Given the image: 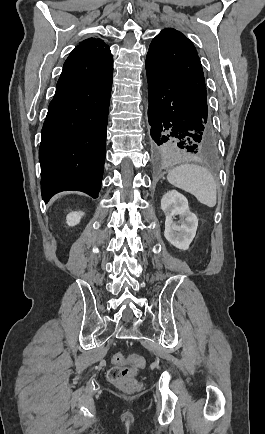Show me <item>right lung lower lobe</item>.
Wrapping results in <instances>:
<instances>
[{
    "instance_id": "obj_1",
    "label": "right lung lower lobe",
    "mask_w": 265,
    "mask_h": 434,
    "mask_svg": "<svg viewBox=\"0 0 265 434\" xmlns=\"http://www.w3.org/2000/svg\"><path fill=\"white\" fill-rule=\"evenodd\" d=\"M113 60L108 48L78 45L64 63L39 149L45 202L57 192L100 191Z\"/></svg>"
}]
</instances>
